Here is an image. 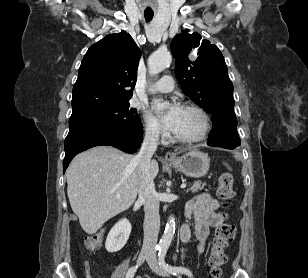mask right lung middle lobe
Masks as SVG:
<instances>
[{"label": "right lung middle lobe", "instance_id": "1", "mask_svg": "<svg viewBox=\"0 0 308 278\" xmlns=\"http://www.w3.org/2000/svg\"><path fill=\"white\" fill-rule=\"evenodd\" d=\"M81 128L143 129L136 109L130 108L128 102L71 116L69 131Z\"/></svg>", "mask_w": 308, "mask_h": 278}]
</instances>
